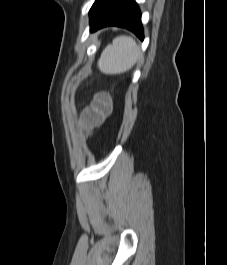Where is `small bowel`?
<instances>
[{"label": "small bowel", "mask_w": 227, "mask_h": 265, "mask_svg": "<svg viewBox=\"0 0 227 265\" xmlns=\"http://www.w3.org/2000/svg\"><path fill=\"white\" fill-rule=\"evenodd\" d=\"M112 103L109 96L105 93L98 94L92 105L85 112V119L91 126H98L110 115Z\"/></svg>", "instance_id": "1"}]
</instances>
